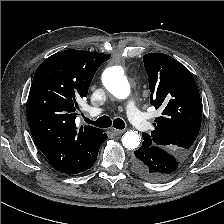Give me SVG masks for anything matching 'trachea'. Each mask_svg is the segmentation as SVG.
<instances>
[{"label": "trachea", "instance_id": "trachea-1", "mask_svg": "<svg viewBox=\"0 0 224 224\" xmlns=\"http://www.w3.org/2000/svg\"><path fill=\"white\" fill-rule=\"evenodd\" d=\"M84 121L86 123L92 124L96 127H100V128H108L113 124V127L116 129H124L125 128V123L122 119L120 118H116L112 120L108 117V116H102L100 118H98L96 121H91L90 119H88L87 117L84 118Z\"/></svg>", "mask_w": 224, "mask_h": 224}]
</instances>
